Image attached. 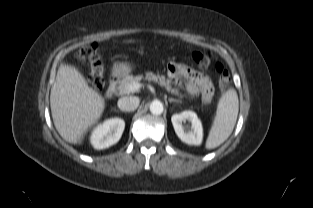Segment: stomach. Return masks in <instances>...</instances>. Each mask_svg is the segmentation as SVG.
<instances>
[{
	"mask_svg": "<svg viewBox=\"0 0 313 208\" xmlns=\"http://www.w3.org/2000/svg\"><path fill=\"white\" fill-rule=\"evenodd\" d=\"M116 70L119 73H129L131 71V67L127 64H120L117 65Z\"/></svg>",
	"mask_w": 313,
	"mask_h": 208,
	"instance_id": "obj_1",
	"label": "stomach"
}]
</instances>
